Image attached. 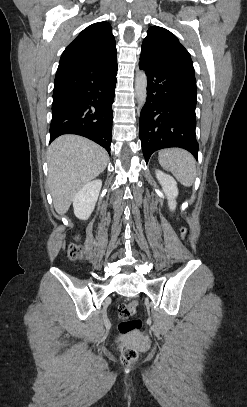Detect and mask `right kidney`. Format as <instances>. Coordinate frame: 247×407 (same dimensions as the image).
Returning a JSON list of instances; mask_svg holds the SVG:
<instances>
[{
	"label": "right kidney",
	"mask_w": 247,
	"mask_h": 407,
	"mask_svg": "<svg viewBox=\"0 0 247 407\" xmlns=\"http://www.w3.org/2000/svg\"><path fill=\"white\" fill-rule=\"evenodd\" d=\"M102 181L97 179L83 186L73 198L74 214L81 220H87L95 208Z\"/></svg>",
	"instance_id": "obj_1"
}]
</instances>
